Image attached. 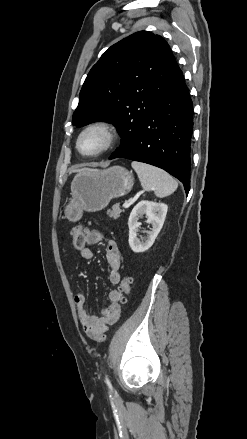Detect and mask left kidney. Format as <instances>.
I'll use <instances>...</instances> for the list:
<instances>
[{
  "label": "left kidney",
  "instance_id": "obj_1",
  "mask_svg": "<svg viewBox=\"0 0 247 439\" xmlns=\"http://www.w3.org/2000/svg\"><path fill=\"white\" fill-rule=\"evenodd\" d=\"M168 206L164 203H157L152 201L143 200L139 202L132 210L129 219V245L133 252L142 253L148 250L155 239L157 238L162 226L164 224ZM147 217V223L152 224L151 231L148 232V236L145 241H141L137 237L141 223L139 218L143 215ZM142 239V238H141Z\"/></svg>",
  "mask_w": 247,
  "mask_h": 439
}]
</instances>
